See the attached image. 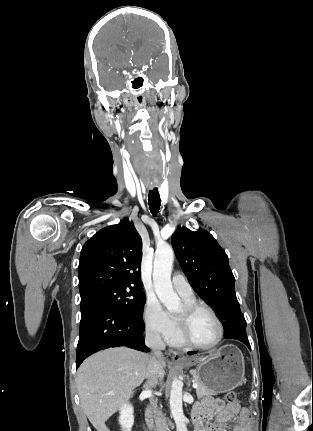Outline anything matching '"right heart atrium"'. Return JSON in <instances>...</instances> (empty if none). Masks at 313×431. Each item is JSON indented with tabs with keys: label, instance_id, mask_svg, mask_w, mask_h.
Here are the masks:
<instances>
[{
	"label": "right heart atrium",
	"instance_id": "1",
	"mask_svg": "<svg viewBox=\"0 0 313 431\" xmlns=\"http://www.w3.org/2000/svg\"><path fill=\"white\" fill-rule=\"evenodd\" d=\"M143 319L147 330L163 339H167L174 330L170 315L163 309L156 298H148L143 310Z\"/></svg>",
	"mask_w": 313,
	"mask_h": 431
}]
</instances>
